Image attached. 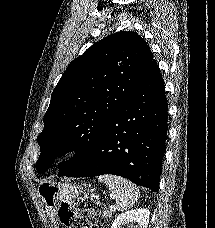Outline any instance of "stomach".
I'll return each mask as SVG.
<instances>
[{
	"label": "stomach",
	"instance_id": "obj_1",
	"mask_svg": "<svg viewBox=\"0 0 215 228\" xmlns=\"http://www.w3.org/2000/svg\"><path fill=\"white\" fill-rule=\"evenodd\" d=\"M92 192L91 186H75V184H59V182H41L38 186V194L44 204L47 218L51 228H60V204L62 202H74L75 198L82 194Z\"/></svg>",
	"mask_w": 215,
	"mask_h": 228
}]
</instances>
